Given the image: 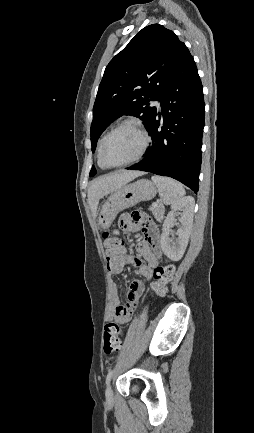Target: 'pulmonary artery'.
<instances>
[{
	"label": "pulmonary artery",
	"mask_w": 254,
	"mask_h": 433,
	"mask_svg": "<svg viewBox=\"0 0 254 433\" xmlns=\"http://www.w3.org/2000/svg\"><path fill=\"white\" fill-rule=\"evenodd\" d=\"M154 105L156 106V108H157L159 111H161V106H160V103H159L158 101H155V102H154Z\"/></svg>",
	"instance_id": "e3ab8cb5"
}]
</instances>
